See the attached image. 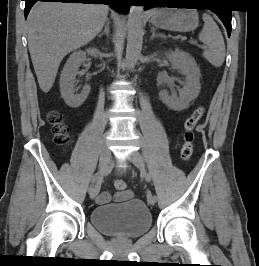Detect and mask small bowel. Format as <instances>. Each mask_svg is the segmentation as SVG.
I'll return each instance as SVG.
<instances>
[{
	"instance_id": "obj_1",
	"label": "small bowel",
	"mask_w": 259,
	"mask_h": 266,
	"mask_svg": "<svg viewBox=\"0 0 259 266\" xmlns=\"http://www.w3.org/2000/svg\"><path fill=\"white\" fill-rule=\"evenodd\" d=\"M132 197H133L132 191L126 190L124 192H117L114 196V199L116 201H125V200L132 198ZM110 199H111L110 194L107 192H104V193H101L99 196H97L96 203L100 204V205L105 204V203L109 202Z\"/></svg>"
}]
</instances>
